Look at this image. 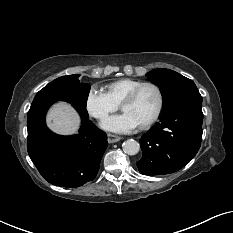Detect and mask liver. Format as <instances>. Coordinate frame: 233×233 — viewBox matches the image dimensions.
I'll return each instance as SVG.
<instances>
[{
    "mask_svg": "<svg viewBox=\"0 0 233 233\" xmlns=\"http://www.w3.org/2000/svg\"><path fill=\"white\" fill-rule=\"evenodd\" d=\"M47 126L60 135L77 133L80 117L75 109L66 102L55 104L46 117Z\"/></svg>",
    "mask_w": 233,
    "mask_h": 233,
    "instance_id": "6515ba94",
    "label": "liver"
}]
</instances>
